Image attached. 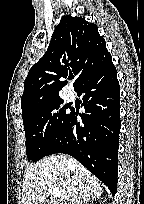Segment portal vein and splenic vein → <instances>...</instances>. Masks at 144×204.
Returning <instances> with one entry per match:
<instances>
[{"label":"portal vein and splenic vein","instance_id":"18ae733b","mask_svg":"<svg viewBox=\"0 0 144 204\" xmlns=\"http://www.w3.org/2000/svg\"><path fill=\"white\" fill-rule=\"evenodd\" d=\"M48 194L51 195L52 197H59L61 195V191L57 187H50L48 189Z\"/></svg>","mask_w":144,"mask_h":204}]
</instances>
